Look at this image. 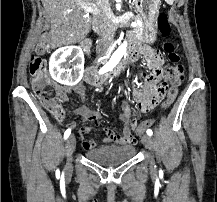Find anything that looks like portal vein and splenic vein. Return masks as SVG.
<instances>
[{"instance_id":"18ae733b","label":"portal vein and splenic vein","mask_w":217,"mask_h":202,"mask_svg":"<svg viewBox=\"0 0 217 202\" xmlns=\"http://www.w3.org/2000/svg\"><path fill=\"white\" fill-rule=\"evenodd\" d=\"M88 10H92V8H88ZM131 26H133V28H136L137 26L136 22H132Z\"/></svg>"}]
</instances>
